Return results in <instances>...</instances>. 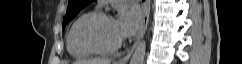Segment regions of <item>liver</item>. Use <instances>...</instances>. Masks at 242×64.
Here are the masks:
<instances>
[{
    "mask_svg": "<svg viewBox=\"0 0 242 64\" xmlns=\"http://www.w3.org/2000/svg\"><path fill=\"white\" fill-rule=\"evenodd\" d=\"M75 64H111V60L110 59H91V60L76 61Z\"/></svg>",
    "mask_w": 242,
    "mask_h": 64,
    "instance_id": "6515ba94",
    "label": "liver"
}]
</instances>
